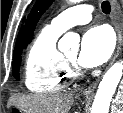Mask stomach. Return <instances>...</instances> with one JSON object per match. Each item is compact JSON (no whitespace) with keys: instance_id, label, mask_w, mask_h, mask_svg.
Returning <instances> with one entry per match:
<instances>
[{"instance_id":"0dacf381","label":"stomach","mask_w":123,"mask_h":113,"mask_svg":"<svg viewBox=\"0 0 123 113\" xmlns=\"http://www.w3.org/2000/svg\"><path fill=\"white\" fill-rule=\"evenodd\" d=\"M13 112H19V109L17 107H14Z\"/></svg>"}]
</instances>
